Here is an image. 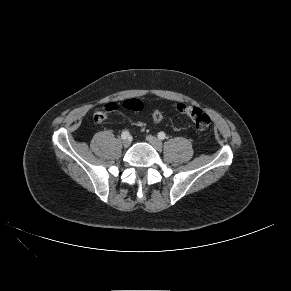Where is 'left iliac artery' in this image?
<instances>
[{
	"label": "left iliac artery",
	"instance_id": "44dca946",
	"mask_svg": "<svg viewBox=\"0 0 291 291\" xmlns=\"http://www.w3.org/2000/svg\"><path fill=\"white\" fill-rule=\"evenodd\" d=\"M165 137H166V135H165L164 132H159V133H158V138H159V139L163 140V139H165Z\"/></svg>",
	"mask_w": 291,
	"mask_h": 291
}]
</instances>
